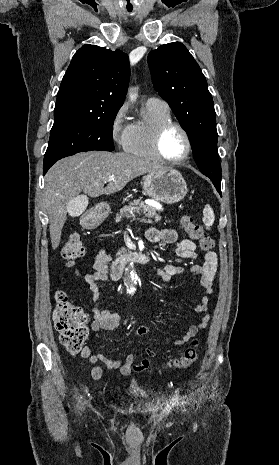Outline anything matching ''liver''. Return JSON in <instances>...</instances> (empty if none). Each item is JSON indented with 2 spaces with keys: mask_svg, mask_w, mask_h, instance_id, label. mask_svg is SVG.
Wrapping results in <instances>:
<instances>
[{
  "mask_svg": "<svg viewBox=\"0 0 279 465\" xmlns=\"http://www.w3.org/2000/svg\"><path fill=\"white\" fill-rule=\"evenodd\" d=\"M162 169L165 168L139 157L106 151L78 153L56 162L45 175L43 192L53 250L61 240L68 204L81 192L93 198L114 194L134 178ZM110 176H114V180L108 181ZM83 198L86 208L88 200L86 196Z\"/></svg>",
  "mask_w": 279,
  "mask_h": 465,
  "instance_id": "1",
  "label": "liver"
}]
</instances>
